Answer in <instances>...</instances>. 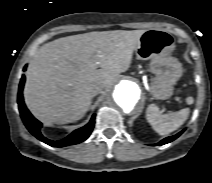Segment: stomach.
Segmentation results:
<instances>
[{
	"label": "stomach",
	"instance_id": "1",
	"mask_svg": "<svg viewBox=\"0 0 212 183\" xmlns=\"http://www.w3.org/2000/svg\"><path fill=\"white\" fill-rule=\"evenodd\" d=\"M175 41L170 32L164 29H148L140 37L136 47V56L140 60H150V71L155 75L151 79L150 91L156 100H165L172 96L174 85L182 75V65L171 52Z\"/></svg>",
	"mask_w": 212,
	"mask_h": 183
}]
</instances>
